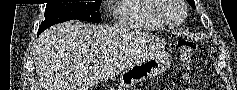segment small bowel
<instances>
[{
    "instance_id": "small-bowel-1",
    "label": "small bowel",
    "mask_w": 237,
    "mask_h": 90,
    "mask_svg": "<svg viewBox=\"0 0 237 90\" xmlns=\"http://www.w3.org/2000/svg\"><path fill=\"white\" fill-rule=\"evenodd\" d=\"M187 90H196L195 88H189V89H187Z\"/></svg>"
}]
</instances>
